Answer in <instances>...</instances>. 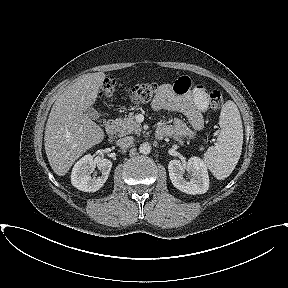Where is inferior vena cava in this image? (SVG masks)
Returning <instances> with one entry per match:
<instances>
[{
	"label": "inferior vena cava",
	"instance_id": "obj_1",
	"mask_svg": "<svg viewBox=\"0 0 288 288\" xmlns=\"http://www.w3.org/2000/svg\"><path fill=\"white\" fill-rule=\"evenodd\" d=\"M133 142L134 138L132 136H127L117 140L116 144L121 148H128L133 144Z\"/></svg>",
	"mask_w": 288,
	"mask_h": 288
}]
</instances>
